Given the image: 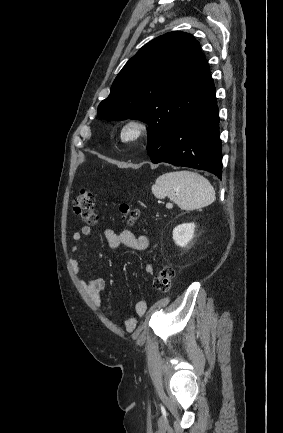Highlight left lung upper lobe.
<instances>
[{"label": "left lung upper lobe", "instance_id": "1", "mask_svg": "<svg viewBox=\"0 0 283 433\" xmlns=\"http://www.w3.org/2000/svg\"><path fill=\"white\" fill-rule=\"evenodd\" d=\"M207 65L191 34L159 36L125 64L97 115L108 121L140 119L148 123L149 133L171 125L199 108L200 79Z\"/></svg>", "mask_w": 283, "mask_h": 433}]
</instances>
